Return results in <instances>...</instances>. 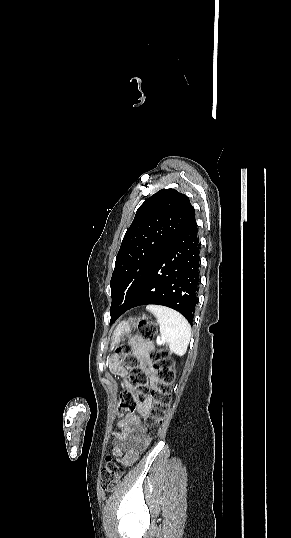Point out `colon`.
Here are the masks:
<instances>
[{
    "mask_svg": "<svg viewBox=\"0 0 291 538\" xmlns=\"http://www.w3.org/2000/svg\"><path fill=\"white\" fill-rule=\"evenodd\" d=\"M136 329L142 338L150 339L154 335L155 325L151 321H140L136 324ZM115 352L121 358V366L127 372L136 389L135 391H123L118 398V413L128 415L134 412L136 406L143 402L146 394L150 391L149 376L143 368L141 358L131 353L129 345H121ZM150 359L156 371L157 383L151 391L152 411L145 419L144 430L150 438H155L159 435L162 421L169 409L175 373L162 353L152 351ZM122 475L121 465L108 458L100 476L102 488L106 491L114 490Z\"/></svg>",
    "mask_w": 291,
    "mask_h": 538,
    "instance_id": "5ec220e1",
    "label": "colon"
}]
</instances>
